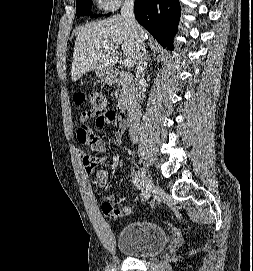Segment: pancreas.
I'll use <instances>...</instances> for the list:
<instances>
[{"label": "pancreas", "mask_w": 253, "mask_h": 271, "mask_svg": "<svg viewBox=\"0 0 253 271\" xmlns=\"http://www.w3.org/2000/svg\"><path fill=\"white\" fill-rule=\"evenodd\" d=\"M119 86H121L122 89H121L120 95L118 97L117 107L119 109H124L133 98L134 87H135L134 80L131 76L125 75L120 80Z\"/></svg>", "instance_id": "obj_1"}]
</instances>
